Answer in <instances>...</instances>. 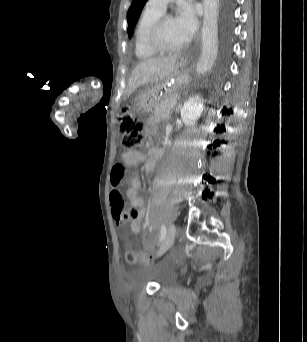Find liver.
Returning <instances> with one entry per match:
<instances>
[{
  "label": "liver",
  "mask_w": 307,
  "mask_h": 342,
  "mask_svg": "<svg viewBox=\"0 0 307 342\" xmlns=\"http://www.w3.org/2000/svg\"><path fill=\"white\" fill-rule=\"evenodd\" d=\"M178 54L167 56V58H148L144 62H140L132 70L125 90L127 98L133 94L140 86H148V84H158L160 80H164L170 72H172Z\"/></svg>",
  "instance_id": "1"
}]
</instances>
